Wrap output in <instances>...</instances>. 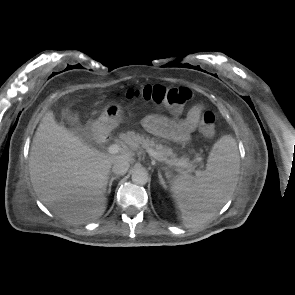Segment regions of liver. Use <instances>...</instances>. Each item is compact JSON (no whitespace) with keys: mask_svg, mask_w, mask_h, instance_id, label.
Segmentation results:
<instances>
[{"mask_svg":"<svg viewBox=\"0 0 295 295\" xmlns=\"http://www.w3.org/2000/svg\"><path fill=\"white\" fill-rule=\"evenodd\" d=\"M133 153L106 155L85 144L46 112L31 146L29 172L39 199L68 222L96 220L107 207L105 189L113 163Z\"/></svg>","mask_w":295,"mask_h":295,"instance_id":"liver-1","label":"liver"}]
</instances>
